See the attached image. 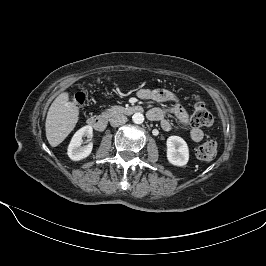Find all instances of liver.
I'll return each mask as SVG.
<instances>
[{
  "label": "liver",
  "mask_w": 266,
  "mask_h": 266,
  "mask_svg": "<svg viewBox=\"0 0 266 266\" xmlns=\"http://www.w3.org/2000/svg\"><path fill=\"white\" fill-rule=\"evenodd\" d=\"M79 109L69 101L67 92L60 94L51 104L46 117V137L52 147L59 145L78 122Z\"/></svg>",
  "instance_id": "6515ba94"
}]
</instances>
